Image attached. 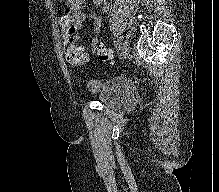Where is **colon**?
<instances>
[{
	"label": "colon",
	"instance_id": "colon-1",
	"mask_svg": "<svg viewBox=\"0 0 219 192\" xmlns=\"http://www.w3.org/2000/svg\"><path fill=\"white\" fill-rule=\"evenodd\" d=\"M93 51L102 62H113L114 57L110 50L96 42L92 45ZM64 49L67 61L72 65H82L89 61L87 53L80 51L72 39V34L69 32L64 39Z\"/></svg>",
	"mask_w": 219,
	"mask_h": 192
}]
</instances>
